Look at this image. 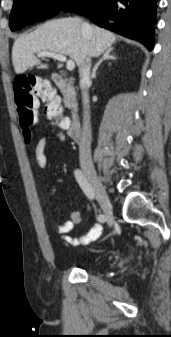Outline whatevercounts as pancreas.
<instances>
[{
    "instance_id": "pancreas-1",
    "label": "pancreas",
    "mask_w": 171,
    "mask_h": 337,
    "mask_svg": "<svg viewBox=\"0 0 171 337\" xmlns=\"http://www.w3.org/2000/svg\"><path fill=\"white\" fill-rule=\"evenodd\" d=\"M65 103H66V105L68 104V102L65 100Z\"/></svg>"
}]
</instances>
